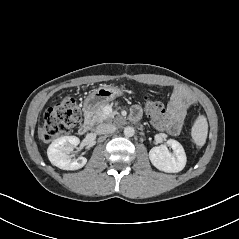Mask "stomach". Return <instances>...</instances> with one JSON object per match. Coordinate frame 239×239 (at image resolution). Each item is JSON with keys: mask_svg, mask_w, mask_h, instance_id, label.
<instances>
[{"mask_svg": "<svg viewBox=\"0 0 239 239\" xmlns=\"http://www.w3.org/2000/svg\"><path fill=\"white\" fill-rule=\"evenodd\" d=\"M123 92L113 86H102L95 89L87 96L84 101V112L93 114L98 108L105 105L109 101L121 96Z\"/></svg>", "mask_w": 239, "mask_h": 239, "instance_id": "1", "label": "stomach"}]
</instances>
